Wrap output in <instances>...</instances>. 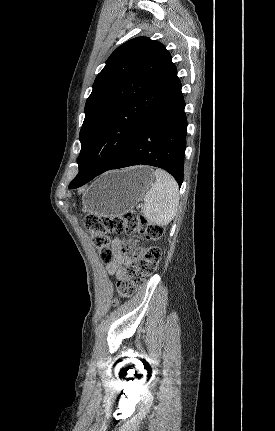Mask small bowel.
I'll return each instance as SVG.
<instances>
[{
    "label": "small bowel",
    "mask_w": 275,
    "mask_h": 431,
    "mask_svg": "<svg viewBox=\"0 0 275 431\" xmlns=\"http://www.w3.org/2000/svg\"><path fill=\"white\" fill-rule=\"evenodd\" d=\"M121 246L122 241L119 238L113 240L112 247L114 255L107 265V273L109 275H115L118 278L122 276L125 271L124 266L128 264V259L120 252Z\"/></svg>",
    "instance_id": "1"
}]
</instances>
